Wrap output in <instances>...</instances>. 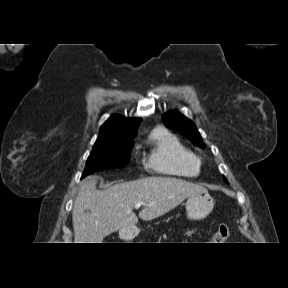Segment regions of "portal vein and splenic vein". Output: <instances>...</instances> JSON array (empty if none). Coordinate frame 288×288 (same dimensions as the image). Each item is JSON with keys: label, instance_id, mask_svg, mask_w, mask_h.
<instances>
[{"label": "portal vein and splenic vein", "instance_id": "18ae733b", "mask_svg": "<svg viewBox=\"0 0 288 288\" xmlns=\"http://www.w3.org/2000/svg\"><path fill=\"white\" fill-rule=\"evenodd\" d=\"M143 205L145 206L146 203L145 202H138V203L135 204V208H139V207H141Z\"/></svg>", "mask_w": 288, "mask_h": 288}]
</instances>
